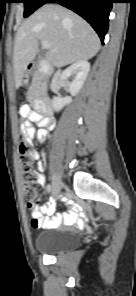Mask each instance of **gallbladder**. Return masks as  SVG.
I'll return each instance as SVG.
<instances>
[{
	"label": "gallbladder",
	"mask_w": 136,
	"mask_h": 296,
	"mask_svg": "<svg viewBox=\"0 0 136 296\" xmlns=\"http://www.w3.org/2000/svg\"><path fill=\"white\" fill-rule=\"evenodd\" d=\"M42 58H43V55H40V56H39V59H42ZM37 65H38V61L35 63V66H36V67H37ZM36 67H35V68H36Z\"/></svg>",
	"instance_id": "bac80fb5"
}]
</instances>
